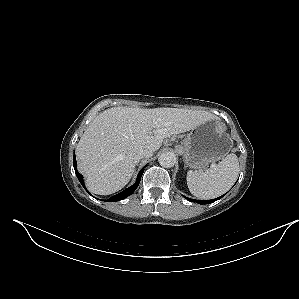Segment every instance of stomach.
Here are the masks:
<instances>
[{
  "instance_id": "0dacf381",
  "label": "stomach",
  "mask_w": 299,
  "mask_h": 299,
  "mask_svg": "<svg viewBox=\"0 0 299 299\" xmlns=\"http://www.w3.org/2000/svg\"><path fill=\"white\" fill-rule=\"evenodd\" d=\"M231 148L229 135L217 121L211 120L186 135L182 143L183 160L192 169H202L223 159Z\"/></svg>"
}]
</instances>
